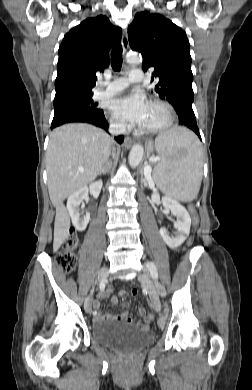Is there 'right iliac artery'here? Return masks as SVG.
Wrapping results in <instances>:
<instances>
[{
  "mask_svg": "<svg viewBox=\"0 0 252 390\" xmlns=\"http://www.w3.org/2000/svg\"><path fill=\"white\" fill-rule=\"evenodd\" d=\"M105 283H106V280L104 279V277H101V283H100V289H101V290H104V289H105ZM91 315H92V316H96V315H97V312H96V311H92V312H91Z\"/></svg>",
  "mask_w": 252,
  "mask_h": 390,
  "instance_id": "82829eb1",
  "label": "right iliac artery"
}]
</instances>
